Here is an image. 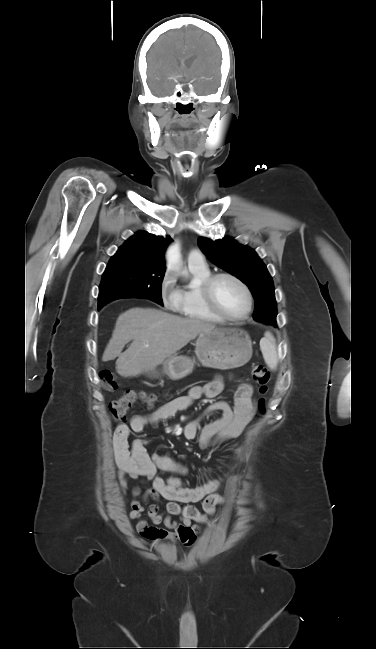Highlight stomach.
Masks as SVG:
<instances>
[{"label": "stomach", "instance_id": "stomach-1", "mask_svg": "<svg viewBox=\"0 0 376 649\" xmlns=\"http://www.w3.org/2000/svg\"><path fill=\"white\" fill-rule=\"evenodd\" d=\"M196 356L203 366L225 370L246 364L252 357V343L249 335L237 328H215L201 332L196 341ZM194 360L187 356H172L163 365V373L172 380L189 375ZM149 376H156L155 369L145 370Z\"/></svg>", "mask_w": 376, "mask_h": 649}]
</instances>
